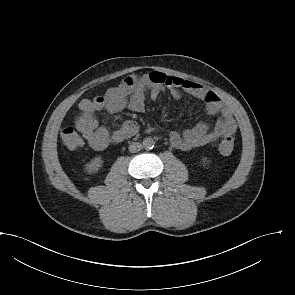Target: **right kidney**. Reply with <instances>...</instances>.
Wrapping results in <instances>:
<instances>
[{
	"instance_id": "1",
	"label": "right kidney",
	"mask_w": 295,
	"mask_h": 295,
	"mask_svg": "<svg viewBox=\"0 0 295 295\" xmlns=\"http://www.w3.org/2000/svg\"><path fill=\"white\" fill-rule=\"evenodd\" d=\"M102 164L103 160L100 157H95L90 163L86 164L85 170L88 173H95L102 167Z\"/></svg>"
}]
</instances>
